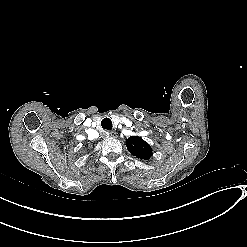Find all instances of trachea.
Instances as JSON below:
<instances>
[{
    "label": "trachea",
    "instance_id": "3493384b",
    "mask_svg": "<svg viewBox=\"0 0 247 247\" xmlns=\"http://www.w3.org/2000/svg\"><path fill=\"white\" fill-rule=\"evenodd\" d=\"M101 125H102V127L104 129H107V130H111L112 129V122L108 118L103 119Z\"/></svg>",
    "mask_w": 247,
    "mask_h": 247
}]
</instances>
